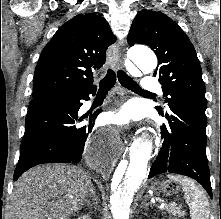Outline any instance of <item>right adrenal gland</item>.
<instances>
[{
	"mask_svg": "<svg viewBox=\"0 0 221 219\" xmlns=\"http://www.w3.org/2000/svg\"><path fill=\"white\" fill-rule=\"evenodd\" d=\"M91 193H92L93 195H96L94 188L91 190ZM86 202H87V201H86ZM94 204H97V203H94ZM87 205L90 206V207H92V204H90L89 201L87 202Z\"/></svg>",
	"mask_w": 221,
	"mask_h": 219,
	"instance_id": "obj_1",
	"label": "right adrenal gland"
}]
</instances>
